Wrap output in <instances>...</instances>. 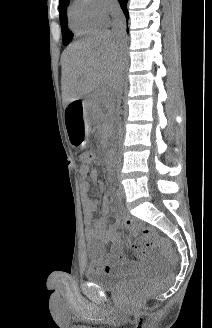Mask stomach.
Listing matches in <instances>:
<instances>
[{"label": "stomach", "instance_id": "0dacf381", "mask_svg": "<svg viewBox=\"0 0 212 328\" xmlns=\"http://www.w3.org/2000/svg\"><path fill=\"white\" fill-rule=\"evenodd\" d=\"M82 102H69L64 109L66 135H70L71 146H84L86 134V110Z\"/></svg>", "mask_w": 212, "mask_h": 328}]
</instances>
